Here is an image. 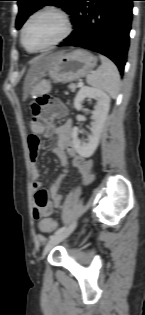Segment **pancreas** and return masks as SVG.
<instances>
[{
	"label": "pancreas",
	"mask_w": 145,
	"mask_h": 315,
	"mask_svg": "<svg viewBox=\"0 0 145 315\" xmlns=\"http://www.w3.org/2000/svg\"><path fill=\"white\" fill-rule=\"evenodd\" d=\"M68 87H69V89L71 90V91H75V89H76V84H74V83H71V84H69L68 85Z\"/></svg>",
	"instance_id": "pancreas-1"
}]
</instances>
